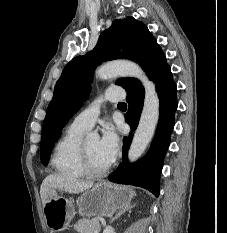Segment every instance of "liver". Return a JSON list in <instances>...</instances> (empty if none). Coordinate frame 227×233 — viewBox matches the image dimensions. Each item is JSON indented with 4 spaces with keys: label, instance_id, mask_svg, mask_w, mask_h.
Instances as JSON below:
<instances>
[{
    "label": "liver",
    "instance_id": "6515ba94",
    "mask_svg": "<svg viewBox=\"0 0 227 233\" xmlns=\"http://www.w3.org/2000/svg\"><path fill=\"white\" fill-rule=\"evenodd\" d=\"M93 185L92 181L73 179L61 174H49L45 177L40 187L42 205H45L50 194L55 191L79 194L89 190Z\"/></svg>",
    "mask_w": 227,
    "mask_h": 233
}]
</instances>
